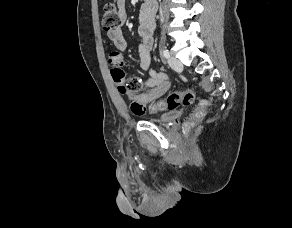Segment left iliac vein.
<instances>
[{"mask_svg":"<svg viewBox=\"0 0 292 228\" xmlns=\"http://www.w3.org/2000/svg\"><path fill=\"white\" fill-rule=\"evenodd\" d=\"M168 63L170 65V67L177 72H181L183 69V65H182L181 61L177 58L169 57Z\"/></svg>","mask_w":292,"mask_h":228,"instance_id":"4c4485c4","label":"left iliac vein"}]
</instances>
